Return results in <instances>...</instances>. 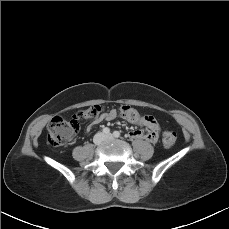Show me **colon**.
<instances>
[{
	"label": "colon",
	"instance_id": "1",
	"mask_svg": "<svg viewBox=\"0 0 229 229\" xmlns=\"http://www.w3.org/2000/svg\"><path fill=\"white\" fill-rule=\"evenodd\" d=\"M102 111L103 108L101 106L95 105L75 113L71 120H66L61 116L52 118L47 125L48 143L52 146H62L66 144L78 129L79 120H96ZM119 111L121 115L130 122L137 123L143 120L139 111L130 105H121ZM162 142L167 148L173 147L177 142V134L173 131L165 132L162 137Z\"/></svg>",
	"mask_w": 229,
	"mask_h": 229
}]
</instances>
